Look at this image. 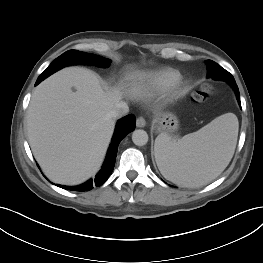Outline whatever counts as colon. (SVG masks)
<instances>
[{
  "mask_svg": "<svg viewBox=\"0 0 263 263\" xmlns=\"http://www.w3.org/2000/svg\"><path fill=\"white\" fill-rule=\"evenodd\" d=\"M216 93L214 87L205 85L195 95V102L201 103L209 99Z\"/></svg>",
  "mask_w": 263,
  "mask_h": 263,
  "instance_id": "1",
  "label": "colon"
}]
</instances>
